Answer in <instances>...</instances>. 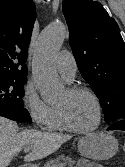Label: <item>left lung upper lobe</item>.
I'll return each mask as SVG.
<instances>
[{"instance_id": "obj_1", "label": "left lung upper lobe", "mask_w": 125, "mask_h": 167, "mask_svg": "<svg viewBox=\"0 0 125 167\" xmlns=\"http://www.w3.org/2000/svg\"><path fill=\"white\" fill-rule=\"evenodd\" d=\"M78 69L103 105L107 124L125 119V42L119 26L93 0H63Z\"/></svg>"}]
</instances>
